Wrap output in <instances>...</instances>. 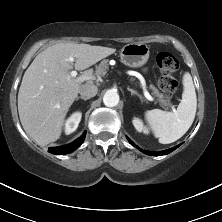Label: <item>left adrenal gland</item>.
<instances>
[{"label":"left adrenal gland","mask_w":222,"mask_h":222,"mask_svg":"<svg viewBox=\"0 0 222 222\" xmlns=\"http://www.w3.org/2000/svg\"><path fill=\"white\" fill-rule=\"evenodd\" d=\"M127 90L131 92V95L138 96L140 98V100L142 101V96L137 91H135V90H133V89H131L129 87L127 88Z\"/></svg>","instance_id":"obj_1"}]
</instances>
